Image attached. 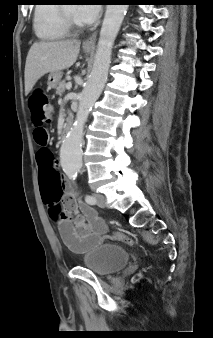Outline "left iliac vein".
<instances>
[{
	"mask_svg": "<svg viewBox=\"0 0 213 338\" xmlns=\"http://www.w3.org/2000/svg\"><path fill=\"white\" fill-rule=\"evenodd\" d=\"M94 197L96 198V204L101 207L105 208L106 207V199L105 196L100 194V193H95Z\"/></svg>",
	"mask_w": 213,
	"mask_h": 338,
	"instance_id": "1",
	"label": "left iliac vein"
}]
</instances>
